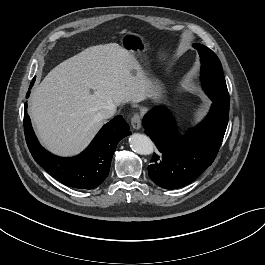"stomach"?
I'll use <instances>...</instances> for the list:
<instances>
[{
	"label": "stomach",
	"instance_id": "1",
	"mask_svg": "<svg viewBox=\"0 0 265 265\" xmlns=\"http://www.w3.org/2000/svg\"><path fill=\"white\" fill-rule=\"evenodd\" d=\"M122 45L133 55L142 53L146 50V45L142 36L138 34H128L122 38ZM162 88L157 82L151 81L150 97L155 101L163 99Z\"/></svg>",
	"mask_w": 265,
	"mask_h": 265
}]
</instances>
